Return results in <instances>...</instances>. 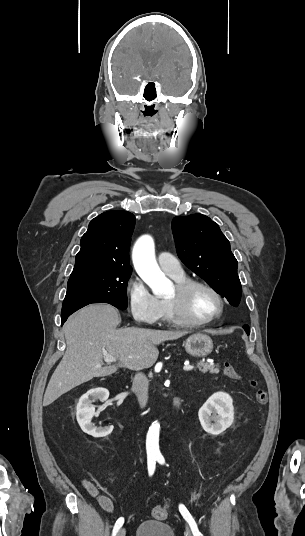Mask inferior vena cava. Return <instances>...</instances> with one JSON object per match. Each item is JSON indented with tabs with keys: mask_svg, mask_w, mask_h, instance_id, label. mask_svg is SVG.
Returning a JSON list of instances; mask_svg holds the SVG:
<instances>
[{
	"mask_svg": "<svg viewBox=\"0 0 305 536\" xmlns=\"http://www.w3.org/2000/svg\"><path fill=\"white\" fill-rule=\"evenodd\" d=\"M148 386L149 384L146 376L141 374V372L140 374H136L132 390H134L137 400L142 408H144L148 402Z\"/></svg>",
	"mask_w": 305,
	"mask_h": 536,
	"instance_id": "602c4592",
	"label": "inferior vena cava"
}]
</instances>
